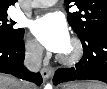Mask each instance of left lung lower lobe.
I'll use <instances>...</instances> for the list:
<instances>
[{
    "mask_svg": "<svg viewBox=\"0 0 107 89\" xmlns=\"http://www.w3.org/2000/svg\"><path fill=\"white\" fill-rule=\"evenodd\" d=\"M84 55L75 68L58 69L54 84L73 80H100L107 83V28H98L80 39Z\"/></svg>",
    "mask_w": 107,
    "mask_h": 89,
    "instance_id": "obj_1",
    "label": "left lung lower lobe"
}]
</instances>
